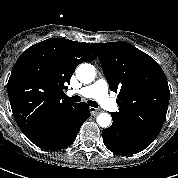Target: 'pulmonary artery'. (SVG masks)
I'll use <instances>...</instances> for the list:
<instances>
[{"instance_id": "obj_1", "label": "pulmonary artery", "mask_w": 178, "mask_h": 178, "mask_svg": "<svg viewBox=\"0 0 178 178\" xmlns=\"http://www.w3.org/2000/svg\"><path fill=\"white\" fill-rule=\"evenodd\" d=\"M70 95H80L86 98L96 99L105 109L114 111L117 105L108 95V84L104 79H99L93 84L77 90H70Z\"/></svg>"}]
</instances>
